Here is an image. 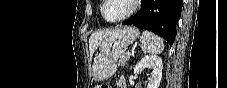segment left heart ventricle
I'll return each instance as SVG.
<instances>
[{
    "mask_svg": "<svg viewBox=\"0 0 227 88\" xmlns=\"http://www.w3.org/2000/svg\"><path fill=\"white\" fill-rule=\"evenodd\" d=\"M128 10L126 0H112L104 9L105 16L109 19L120 17Z\"/></svg>",
    "mask_w": 227,
    "mask_h": 88,
    "instance_id": "obj_1",
    "label": "left heart ventricle"
}]
</instances>
